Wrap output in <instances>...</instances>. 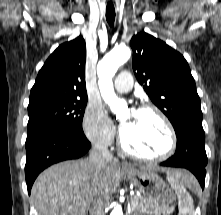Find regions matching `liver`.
<instances>
[{
	"label": "liver",
	"mask_w": 221,
	"mask_h": 215,
	"mask_svg": "<svg viewBox=\"0 0 221 215\" xmlns=\"http://www.w3.org/2000/svg\"><path fill=\"white\" fill-rule=\"evenodd\" d=\"M162 171L178 179L187 174L180 170ZM120 178L119 165L114 161L107 162L100 174L88 158L66 161L43 171L34 182L31 195L38 215H87L97 193L108 202Z\"/></svg>",
	"instance_id": "6515ba94"
}]
</instances>
